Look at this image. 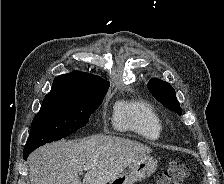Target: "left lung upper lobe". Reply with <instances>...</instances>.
I'll return each mask as SVG.
<instances>
[{
	"label": "left lung upper lobe",
	"instance_id": "5c2ea615",
	"mask_svg": "<svg viewBox=\"0 0 224 184\" xmlns=\"http://www.w3.org/2000/svg\"><path fill=\"white\" fill-rule=\"evenodd\" d=\"M149 91L156 100L161 102L166 108L182 114V109L176 98L175 90L171 85L160 79H152L147 85Z\"/></svg>",
	"mask_w": 224,
	"mask_h": 184
}]
</instances>
